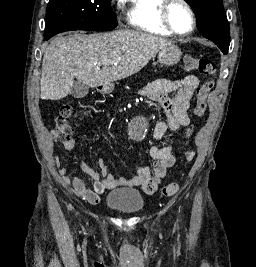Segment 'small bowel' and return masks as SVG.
Returning a JSON list of instances; mask_svg holds the SVG:
<instances>
[{"label":"small bowel","mask_w":256,"mask_h":267,"mask_svg":"<svg viewBox=\"0 0 256 267\" xmlns=\"http://www.w3.org/2000/svg\"><path fill=\"white\" fill-rule=\"evenodd\" d=\"M198 85V78L195 75L188 74L179 79H158L139 90L140 96L159 102L166 115L165 120H158L155 125L154 135L156 140L163 141L166 139L167 144L161 148L157 146L150 147V156L155 161L152 170L148 166L133 164L135 175L132 178L125 179L110 172L107 162L102 158L97 160L99 171L80 162V168L91 179V184L87 187L80 178L69 176L66 167L61 164L57 157L56 164L61 185L68 187L73 194L90 204H98L100 195L106 190L120 187H141L147 194L156 193L167 170L176 162L172 134L183 129V141L180 145L182 150L185 149L193 135L187 111ZM53 139L57 140L55 133ZM63 146L67 153H73L77 149V142L75 139H67L63 142Z\"/></svg>","instance_id":"small-bowel-1"}]
</instances>
